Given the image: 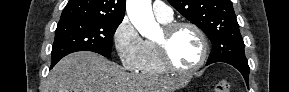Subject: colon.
Wrapping results in <instances>:
<instances>
[{"mask_svg": "<svg viewBox=\"0 0 289 92\" xmlns=\"http://www.w3.org/2000/svg\"><path fill=\"white\" fill-rule=\"evenodd\" d=\"M214 92H230V84L226 80H220L213 85Z\"/></svg>", "mask_w": 289, "mask_h": 92, "instance_id": "obj_1", "label": "colon"}]
</instances>
